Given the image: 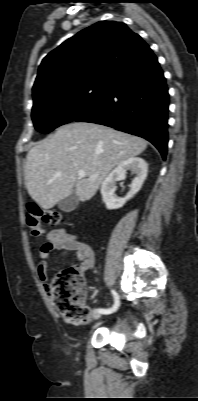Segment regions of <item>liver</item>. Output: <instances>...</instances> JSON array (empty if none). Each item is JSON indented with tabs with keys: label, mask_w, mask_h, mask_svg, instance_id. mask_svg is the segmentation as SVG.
Instances as JSON below:
<instances>
[{
	"label": "liver",
	"mask_w": 198,
	"mask_h": 401,
	"mask_svg": "<svg viewBox=\"0 0 198 401\" xmlns=\"http://www.w3.org/2000/svg\"><path fill=\"white\" fill-rule=\"evenodd\" d=\"M146 147L143 138L103 125H63L29 150L24 173L27 191L44 209L73 191L79 200H89L115 166ZM79 170L85 171L84 178L78 176Z\"/></svg>",
	"instance_id": "obj_1"
}]
</instances>
